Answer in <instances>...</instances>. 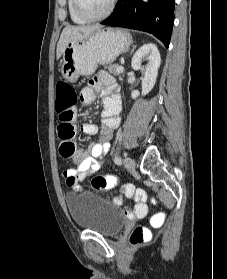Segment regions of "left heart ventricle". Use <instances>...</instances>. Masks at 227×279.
<instances>
[{"instance_id": "left-heart-ventricle-1", "label": "left heart ventricle", "mask_w": 227, "mask_h": 279, "mask_svg": "<svg viewBox=\"0 0 227 279\" xmlns=\"http://www.w3.org/2000/svg\"><path fill=\"white\" fill-rule=\"evenodd\" d=\"M109 3L110 0H79L82 10L90 16L102 14L108 8Z\"/></svg>"}]
</instances>
